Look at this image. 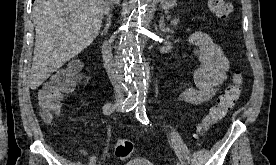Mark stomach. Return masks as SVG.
I'll list each match as a JSON object with an SVG mask.
<instances>
[{"label": "stomach", "mask_w": 276, "mask_h": 165, "mask_svg": "<svg viewBox=\"0 0 276 165\" xmlns=\"http://www.w3.org/2000/svg\"><path fill=\"white\" fill-rule=\"evenodd\" d=\"M160 2L164 9L173 8L176 5V0H160Z\"/></svg>", "instance_id": "stomach-1"}]
</instances>
